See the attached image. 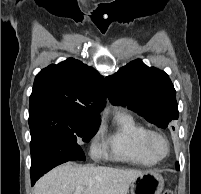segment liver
I'll list each match as a JSON object with an SVG mask.
<instances>
[{
  "label": "liver",
  "instance_id": "liver-1",
  "mask_svg": "<svg viewBox=\"0 0 201 194\" xmlns=\"http://www.w3.org/2000/svg\"><path fill=\"white\" fill-rule=\"evenodd\" d=\"M143 173L105 166H76L66 163L40 178L35 184L34 193L74 194L76 187L81 186V194H127L132 181Z\"/></svg>",
  "mask_w": 201,
  "mask_h": 194
}]
</instances>
